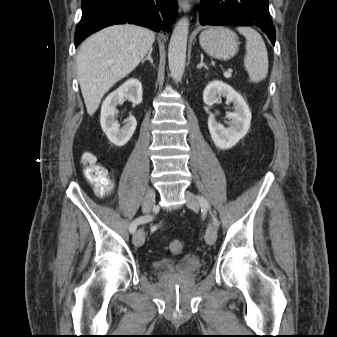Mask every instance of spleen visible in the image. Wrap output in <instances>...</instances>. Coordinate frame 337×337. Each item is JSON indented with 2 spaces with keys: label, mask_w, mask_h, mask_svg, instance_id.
Instances as JSON below:
<instances>
[{
  "label": "spleen",
  "mask_w": 337,
  "mask_h": 337,
  "mask_svg": "<svg viewBox=\"0 0 337 337\" xmlns=\"http://www.w3.org/2000/svg\"><path fill=\"white\" fill-rule=\"evenodd\" d=\"M237 30L246 38L244 67L253 83L264 80L268 73V54L261 35L251 27H238Z\"/></svg>",
  "instance_id": "3e777b00"
}]
</instances>
